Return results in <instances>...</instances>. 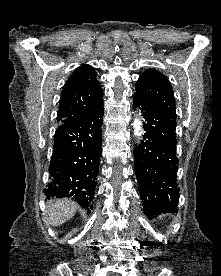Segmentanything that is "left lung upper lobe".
<instances>
[{
	"label": "left lung upper lobe",
	"instance_id": "left-lung-upper-lobe-1",
	"mask_svg": "<svg viewBox=\"0 0 221 276\" xmlns=\"http://www.w3.org/2000/svg\"><path fill=\"white\" fill-rule=\"evenodd\" d=\"M134 96L139 97L143 104L154 112L176 119L174 94L170 82L160 72L146 70L139 77Z\"/></svg>",
	"mask_w": 221,
	"mask_h": 276
}]
</instances>
